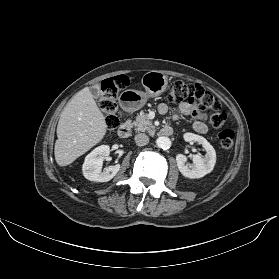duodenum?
Segmentation results:
<instances>
[{"label": "duodenum", "mask_w": 279, "mask_h": 279, "mask_svg": "<svg viewBox=\"0 0 279 279\" xmlns=\"http://www.w3.org/2000/svg\"><path fill=\"white\" fill-rule=\"evenodd\" d=\"M131 126L129 123L124 122L118 128L117 134L120 138H127L130 135ZM173 129L171 126H165L160 130V136L168 137L172 135Z\"/></svg>", "instance_id": "410a0bca"}]
</instances>
